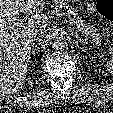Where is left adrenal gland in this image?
Wrapping results in <instances>:
<instances>
[{"label":"left adrenal gland","mask_w":113,"mask_h":113,"mask_svg":"<svg viewBox=\"0 0 113 113\" xmlns=\"http://www.w3.org/2000/svg\"><path fill=\"white\" fill-rule=\"evenodd\" d=\"M75 37H76V39H77V41H76V44L78 45L79 43H81V44H87V41L85 40L84 41V39H82L81 37H79V35L76 33L75 34Z\"/></svg>","instance_id":"a2214340"}]
</instances>
